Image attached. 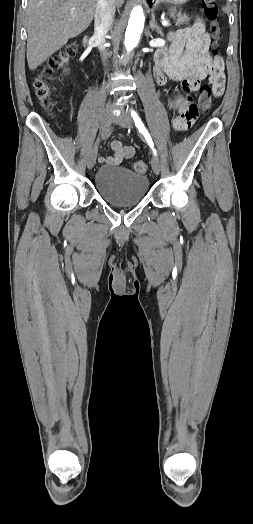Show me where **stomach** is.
Returning a JSON list of instances; mask_svg holds the SVG:
<instances>
[{"label":"stomach","instance_id":"1","mask_svg":"<svg viewBox=\"0 0 253 524\" xmlns=\"http://www.w3.org/2000/svg\"><path fill=\"white\" fill-rule=\"evenodd\" d=\"M151 5L156 6L159 3H172V4H182L187 2L188 0H148Z\"/></svg>","mask_w":253,"mask_h":524}]
</instances>
